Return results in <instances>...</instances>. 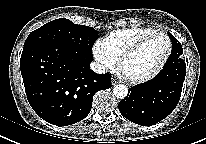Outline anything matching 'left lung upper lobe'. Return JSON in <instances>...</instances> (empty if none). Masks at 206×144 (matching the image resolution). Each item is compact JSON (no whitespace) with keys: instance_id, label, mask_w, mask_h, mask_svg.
I'll use <instances>...</instances> for the list:
<instances>
[{"instance_id":"obj_1","label":"left lung upper lobe","mask_w":206,"mask_h":144,"mask_svg":"<svg viewBox=\"0 0 206 144\" xmlns=\"http://www.w3.org/2000/svg\"><path fill=\"white\" fill-rule=\"evenodd\" d=\"M168 35L170 39L172 40V51H171L170 57H177L181 59L182 57L181 55L183 54V49H182L180 42L169 32H168ZM170 57L168 58V60L170 59Z\"/></svg>"}]
</instances>
